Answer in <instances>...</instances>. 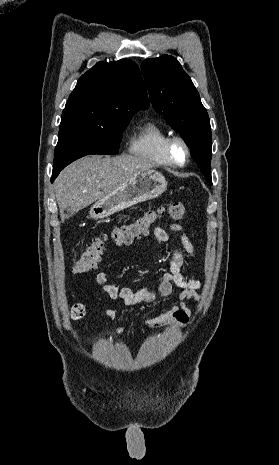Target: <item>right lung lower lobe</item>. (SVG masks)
Here are the masks:
<instances>
[{"mask_svg":"<svg viewBox=\"0 0 279 465\" xmlns=\"http://www.w3.org/2000/svg\"><path fill=\"white\" fill-rule=\"evenodd\" d=\"M64 167H60V168H53V173H52V177H51V181L53 182L54 179L57 177V175L59 174L60 170H62Z\"/></svg>","mask_w":279,"mask_h":465,"instance_id":"obj_1","label":"right lung lower lobe"}]
</instances>
